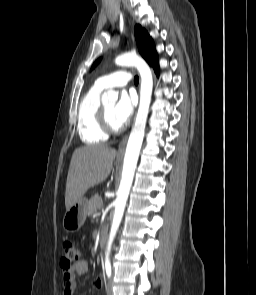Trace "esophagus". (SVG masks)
<instances>
[{
	"mask_svg": "<svg viewBox=\"0 0 256 295\" xmlns=\"http://www.w3.org/2000/svg\"><path fill=\"white\" fill-rule=\"evenodd\" d=\"M127 139H128V135H125L119 144L118 152H117V157L119 158H122L124 156Z\"/></svg>",
	"mask_w": 256,
	"mask_h": 295,
	"instance_id": "esophagus-1",
	"label": "esophagus"
}]
</instances>
